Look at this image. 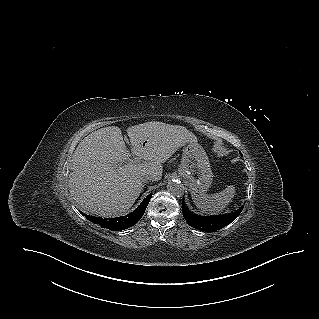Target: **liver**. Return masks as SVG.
Returning <instances> with one entry per match:
<instances>
[{
    "instance_id": "6515ba94",
    "label": "liver",
    "mask_w": 319,
    "mask_h": 319,
    "mask_svg": "<svg viewBox=\"0 0 319 319\" xmlns=\"http://www.w3.org/2000/svg\"><path fill=\"white\" fill-rule=\"evenodd\" d=\"M127 134L133 154L144 162L128 161L129 152L119 127L98 129L78 144L68 186L80 209L102 217L124 214L144 187L143 174L151 173L153 181L160 180L162 163L179 147L197 142L185 127L158 121L131 126Z\"/></svg>"
}]
</instances>
